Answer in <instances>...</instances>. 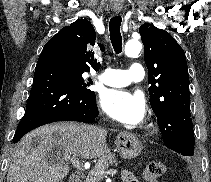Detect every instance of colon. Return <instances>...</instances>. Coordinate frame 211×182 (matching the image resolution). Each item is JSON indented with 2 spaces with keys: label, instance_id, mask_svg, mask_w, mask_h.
I'll list each match as a JSON object with an SVG mask.
<instances>
[{
  "label": "colon",
  "instance_id": "1",
  "mask_svg": "<svg viewBox=\"0 0 211 182\" xmlns=\"http://www.w3.org/2000/svg\"><path fill=\"white\" fill-rule=\"evenodd\" d=\"M166 173V165L161 161H153L148 164L144 171V178L148 182H158L159 178Z\"/></svg>",
  "mask_w": 211,
  "mask_h": 182
}]
</instances>
